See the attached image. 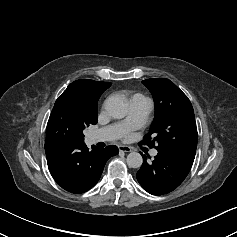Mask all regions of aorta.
Returning <instances> with one entry per match:
<instances>
[{
    "label": "aorta",
    "instance_id": "obj_1",
    "mask_svg": "<svg viewBox=\"0 0 237 237\" xmlns=\"http://www.w3.org/2000/svg\"><path fill=\"white\" fill-rule=\"evenodd\" d=\"M105 107L107 112L116 119L124 118L128 112L125 101L118 96H111L106 100ZM127 165L130 168H140L143 163V158L138 152H131L126 159Z\"/></svg>",
    "mask_w": 237,
    "mask_h": 237
}]
</instances>
